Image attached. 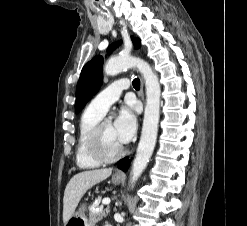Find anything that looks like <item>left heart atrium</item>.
<instances>
[{
    "mask_svg": "<svg viewBox=\"0 0 247 226\" xmlns=\"http://www.w3.org/2000/svg\"><path fill=\"white\" fill-rule=\"evenodd\" d=\"M136 116L132 104L123 106L113 124L117 140L123 145L128 143L136 132Z\"/></svg>",
    "mask_w": 247,
    "mask_h": 226,
    "instance_id": "1",
    "label": "left heart atrium"
}]
</instances>
